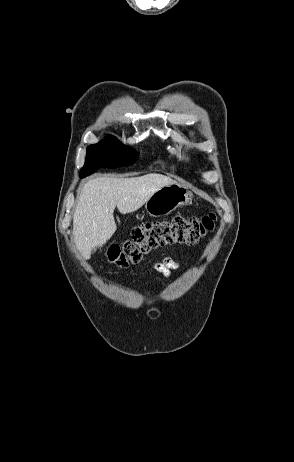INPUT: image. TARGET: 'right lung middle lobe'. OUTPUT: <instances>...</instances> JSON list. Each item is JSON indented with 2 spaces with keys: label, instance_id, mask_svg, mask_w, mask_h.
<instances>
[{
  "label": "right lung middle lobe",
  "instance_id": "1",
  "mask_svg": "<svg viewBox=\"0 0 294 462\" xmlns=\"http://www.w3.org/2000/svg\"><path fill=\"white\" fill-rule=\"evenodd\" d=\"M98 153H104L115 158L118 161L119 166H125L133 163L138 156L132 148L123 145L115 137L109 136L104 142L88 146L85 165L81 169L80 175L88 172L90 158Z\"/></svg>",
  "mask_w": 294,
  "mask_h": 462
}]
</instances>
